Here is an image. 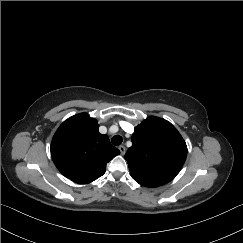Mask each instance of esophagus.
Returning <instances> with one entry per match:
<instances>
[{
	"label": "esophagus",
	"instance_id": "obj_1",
	"mask_svg": "<svg viewBox=\"0 0 243 243\" xmlns=\"http://www.w3.org/2000/svg\"><path fill=\"white\" fill-rule=\"evenodd\" d=\"M119 150H120L121 155H124L125 152H126V148H125L124 145H120V146H119Z\"/></svg>",
	"mask_w": 243,
	"mask_h": 243
}]
</instances>
